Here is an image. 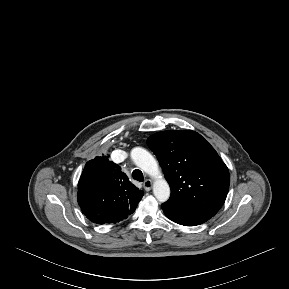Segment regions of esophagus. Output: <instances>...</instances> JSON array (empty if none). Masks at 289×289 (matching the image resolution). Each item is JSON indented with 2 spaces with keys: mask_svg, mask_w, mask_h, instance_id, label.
<instances>
[{
  "mask_svg": "<svg viewBox=\"0 0 289 289\" xmlns=\"http://www.w3.org/2000/svg\"><path fill=\"white\" fill-rule=\"evenodd\" d=\"M143 186L146 191H150L152 188V181L150 179L145 180Z\"/></svg>",
  "mask_w": 289,
  "mask_h": 289,
  "instance_id": "1",
  "label": "esophagus"
}]
</instances>
